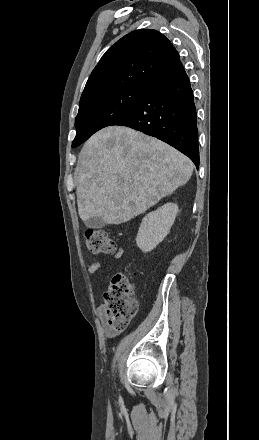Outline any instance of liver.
Returning a JSON list of instances; mask_svg holds the SVG:
<instances>
[{"instance_id": "obj_1", "label": "liver", "mask_w": 259, "mask_h": 440, "mask_svg": "<svg viewBox=\"0 0 259 440\" xmlns=\"http://www.w3.org/2000/svg\"><path fill=\"white\" fill-rule=\"evenodd\" d=\"M193 168L188 157L154 137L123 126L101 129L79 154V216L127 222L186 184Z\"/></svg>"}]
</instances>
